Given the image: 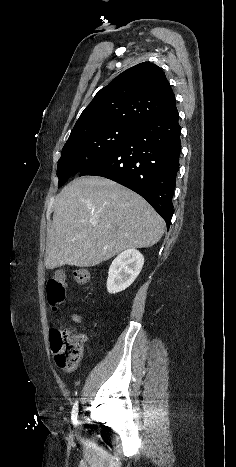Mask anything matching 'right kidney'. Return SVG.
I'll return each mask as SVG.
<instances>
[{
  "mask_svg": "<svg viewBox=\"0 0 236 467\" xmlns=\"http://www.w3.org/2000/svg\"><path fill=\"white\" fill-rule=\"evenodd\" d=\"M143 264V255L135 249H127L120 253L109 268L108 292L115 294L129 287L139 275Z\"/></svg>",
  "mask_w": 236,
  "mask_h": 467,
  "instance_id": "right-kidney-1",
  "label": "right kidney"
}]
</instances>
